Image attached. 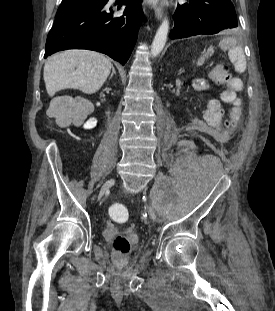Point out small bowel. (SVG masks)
Returning <instances> with one entry per match:
<instances>
[{
    "label": "small bowel",
    "mask_w": 275,
    "mask_h": 311,
    "mask_svg": "<svg viewBox=\"0 0 275 311\" xmlns=\"http://www.w3.org/2000/svg\"><path fill=\"white\" fill-rule=\"evenodd\" d=\"M219 44L222 49H225L220 52L222 62H237L238 57H245V50H242L236 39L225 37L220 40ZM229 69V64L212 65L211 69H209L210 82L209 80H188L187 82L192 93H201L199 106L203 107L202 121L206 122L209 129H214V133H218V143H225L226 139H233V133L239 128L236 119L240 116L241 101L235 99L232 102V118L226 120L224 119L225 110L222 102L219 101V96L216 95V92H211V87H226V84L234 79L227 73ZM79 124L83 129L90 130L97 125V119L90 117L82 120Z\"/></svg>",
    "instance_id": "1"
}]
</instances>
